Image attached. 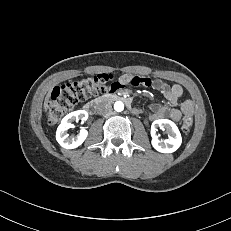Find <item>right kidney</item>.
<instances>
[{"label": "right kidney", "instance_id": "obj_1", "mask_svg": "<svg viewBox=\"0 0 231 231\" xmlns=\"http://www.w3.org/2000/svg\"><path fill=\"white\" fill-rule=\"evenodd\" d=\"M88 118V113L84 110H78L66 115L56 131L57 142L66 149H74L80 146L86 139L88 132L86 129L82 128L76 136H70L67 131L72 127L73 121L81 120L82 123Z\"/></svg>", "mask_w": 231, "mask_h": 231}]
</instances>
